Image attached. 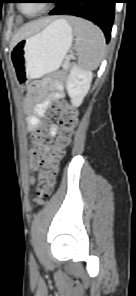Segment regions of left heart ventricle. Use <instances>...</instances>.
<instances>
[{"mask_svg":"<svg viewBox=\"0 0 136 296\" xmlns=\"http://www.w3.org/2000/svg\"><path fill=\"white\" fill-rule=\"evenodd\" d=\"M44 4L45 3L28 2V3H23V8L27 13L33 14L39 11L42 8V6H44Z\"/></svg>","mask_w":136,"mask_h":296,"instance_id":"1","label":"left heart ventricle"}]
</instances>
